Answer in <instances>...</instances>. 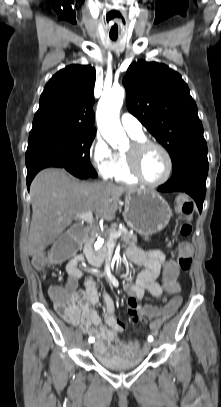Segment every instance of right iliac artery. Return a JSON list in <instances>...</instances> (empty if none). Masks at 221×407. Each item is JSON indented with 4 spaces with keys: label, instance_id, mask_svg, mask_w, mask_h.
Instances as JSON below:
<instances>
[{
    "label": "right iliac artery",
    "instance_id": "1",
    "mask_svg": "<svg viewBox=\"0 0 221 407\" xmlns=\"http://www.w3.org/2000/svg\"><path fill=\"white\" fill-rule=\"evenodd\" d=\"M89 342H94V338H92V337H89Z\"/></svg>",
    "mask_w": 221,
    "mask_h": 407
}]
</instances>
